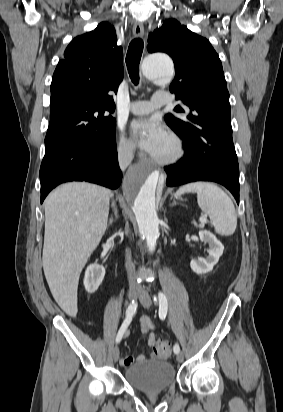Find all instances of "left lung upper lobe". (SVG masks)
<instances>
[{"mask_svg": "<svg viewBox=\"0 0 283 412\" xmlns=\"http://www.w3.org/2000/svg\"><path fill=\"white\" fill-rule=\"evenodd\" d=\"M150 53L165 52L173 58L175 78L170 91L186 111L179 119L171 114L165 120L179 136L193 134L203 144L211 160L222 167L239 168L233 145L229 92L219 56L209 41L181 25L167 20L149 34Z\"/></svg>", "mask_w": 283, "mask_h": 412, "instance_id": "left-lung-upper-lobe-1", "label": "left lung upper lobe"}]
</instances>
